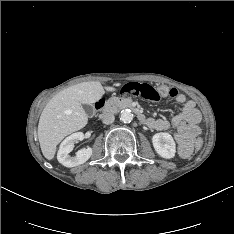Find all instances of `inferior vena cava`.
Listing matches in <instances>:
<instances>
[{
  "mask_svg": "<svg viewBox=\"0 0 234 234\" xmlns=\"http://www.w3.org/2000/svg\"><path fill=\"white\" fill-rule=\"evenodd\" d=\"M115 120V116L113 113H105L102 115V122L104 124H112Z\"/></svg>",
  "mask_w": 234,
  "mask_h": 234,
  "instance_id": "obj_1",
  "label": "inferior vena cava"
}]
</instances>
